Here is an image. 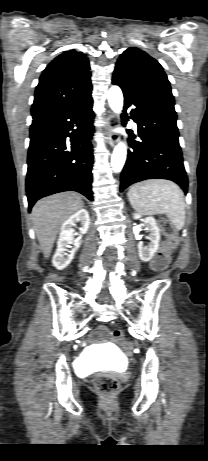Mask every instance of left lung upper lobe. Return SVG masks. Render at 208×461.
I'll list each match as a JSON object with an SVG mask.
<instances>
[{
    "instance_id": "1",
    "label": "left lung upper lobe",
    "mask_w": 208,
    "mask_h": 461,
    "mask_svg": "<svg viewBox=\"0 0 208 461\" xmlns=\"http://www.w3.org/2000/svg\"><path fill=\"white\" fill-rule=\"evenodd\" d=\"M112 82L136 99L175 105L163 67L139 48L130 47L120 55Z\"/></svg>"
}]
</instances>
